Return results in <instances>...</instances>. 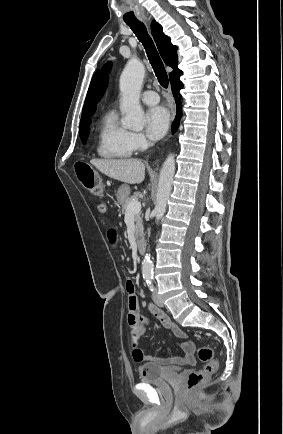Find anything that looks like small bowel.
<instances>
[{"label": "small bowel", "mask_w": 283, "mask_h": 434, "mask_svg": "<svg viewBox=\"0 0 283 434\" xmlns=\"http://www.w3.org/2000/svg\"><path fill=\"white\" fill-rule=\"evenodd\" d=\"M98 213L104 215L108 212V207L104 202L97 205ZM107 239L112 245H116L118 241L117 232L111 228L107 232ZM126 291L128 295V325L130 328V345L132 350V357L135 362H151L160 366H183L192 365L195 363L194 343L188 340V335L185 331L180 329L170 317L160 308L151 303H146L148 311L163 325L170 330L177 338L181 340L180 347L182 355L162 358L153 357L145 354L139 347V339L145 333L147 320L139 313L138 310V296L136 294L135 284L131 279L126 281Z\"/></svg>", "instance_id": "obj_1"}]
</instances>
